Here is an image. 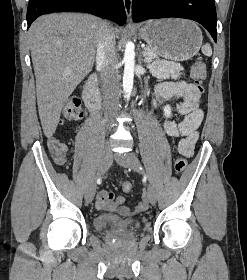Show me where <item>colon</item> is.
I'll use <instances>...</instances> for the list:
<instances>
[{"label": "colon", "instance_id": "1", "mask_svg": "<svg viewBox=\"0 0 247 280\" xmlns=\"http://www.w3.org/2000/svg\"><path fill=\"white\" fill-rule=\"evenodd\" d=\"M206 77V65L203 61H196L191 67V78L196 86L202 91V82ZM82 117V112L79 108L78 99H71L65 106L63 118L66 120L78 119ZM48 146L51 154L58 162H63L66 158L67 148L64 142L57 138H51L48 141ZM187 166V160L184 157H178L174 163V169L177 174H181ZM130 182H123L122 189L128 193L132 191Z\"/></svg>", "mask_w": 247, "mask_h": 280}]
</instances>
